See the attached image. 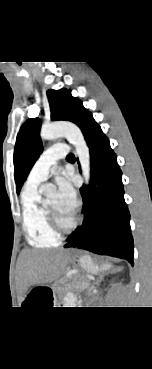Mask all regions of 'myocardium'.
Returning <instances> with one entry per match:
<instances>
[{"label":"myocardium","instance_id":"1","mask_svg":"<svg viewBox=\"0 0 152 369\" xmlns=\"http://www.w3.org/2000/svg\"><path fill=\"white\" fill-rule=\"evenodd\" d=\"M43 206L45 208V211H46V214H47V219H48V222H49V225H50L51 229L59 237L62 236V235L70 233L77 226L78 220H77L76 217H73V220L71 221V223L69 225L64 226L59 221V219H58L57 215L55 214V212L48 206L46 201L43 202Z\"/></svg>","mask_w":152,"mask_h":369}]
</instances>
